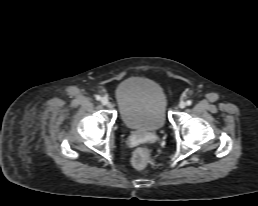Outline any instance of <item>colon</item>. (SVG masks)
I'll return each mask as SVG.
<instances>
[{
  "label": "colon",
  "mask_w": 258,
  "mask_h": 206,
  "mask_svg": "<svg viewBox=\"0 0 258 206\" xmlns=\"http://www.w3.org/2000/svg\"><path fill=\"white\" fill-rule=\"evenodd\" d=\"M132 162L135 167L145 168L154 163V157L151 150L146 147H139L133 154Z\"/></svg>",
  "instance_id": "1"
}]
</instances>
